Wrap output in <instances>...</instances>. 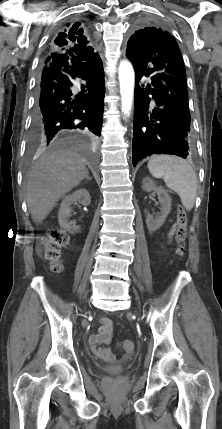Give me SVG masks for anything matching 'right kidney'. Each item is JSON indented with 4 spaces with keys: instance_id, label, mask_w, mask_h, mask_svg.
<instances>
[{
    "instance_id": "1",
    "label": "right kidney",
    "mask_w": 222,
    "mask_h": 429,
    "mask_svg": "<svg viewBox=\"0 0 222 429\" xmlns=\"http://www.w3.org/2000/svg\"><path fill=\"white\" fill-rule=\"evenodd\" d=\"M77 202H80L84 206L90 204V195L86 189L76 190L72 194L63 198L60 209L58 211V222L61 228L66 230H70L72 228L74 230L79 229V227H72L68 219L71 216V205L77 204Z\"/></svg>"
}]
</instances>
